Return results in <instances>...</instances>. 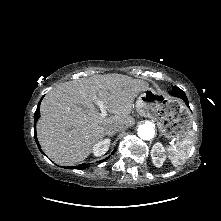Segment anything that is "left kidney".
I'll return each instance as SVG.
<instances>
[{"label": "left kidney", "instance_id": "left-kidney-1", "mask_svg": "<svg viewBox=\"0 0 221 221\" xmlns=\"http://www.w3.org/2000/svg\"><path fill=\"white\" fill-rule=\"evenodd\" d=\"M152 162L156 167H161L166 159L165 148L161 143H156L151 150Z\"/></svg>", "mask_w": 221, "mask_h": 221}]
</instances>
